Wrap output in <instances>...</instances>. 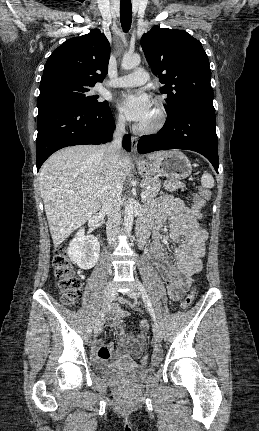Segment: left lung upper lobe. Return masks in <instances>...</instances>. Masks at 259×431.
Masks as SVG:
<instances>
[{
    "instance_id": "left-lung-upper-lobe-1",
    "label": "left lung upper lobe",
    "mask_w": 259,
    "mask_h": 431,
    "mask_svg": "<svg viewBox=\"0 0 259 431\" xmlns=\"http://www.w3.org/2000/svg\"><path fill=\"white\" fill-rule=\"evenodd\" d=\"M149 66L165 84L167 114L186 106L215 111L209 60L200 41L186 31L154 26L141 38Z\"/></svg>"
}]
</instances>
